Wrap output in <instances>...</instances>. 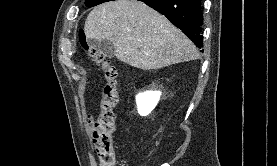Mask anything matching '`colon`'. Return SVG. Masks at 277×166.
<instances>
[{
  "mask_svg": "<svg viewBox=\"0 0 277 166\" xmlns=\"http://www.w3.org/2000/svg\"><path fill=\"white\" fill-rule=\"evenodd\" d=\"M78 40L85 54L102 69L105 78L100 88V113L92 124V137L100 166H116L114 108L118 102V70L87 41L84 31L78 33Z\"/></svg>",
  "mask_w": 277,
  "mask_h": 166,
  "instance_id": "1",
  "label": "colon"
}]
</instances>
